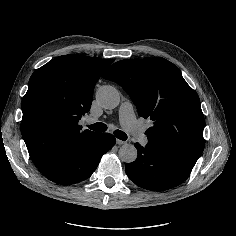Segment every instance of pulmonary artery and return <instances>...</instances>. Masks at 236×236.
I'll return each instance as SVG.
<instances>
[{"label": "pulmonary artery", "mask_w": 236, "mask_h": 236, "mask_svg": "<svg viewBox=\"0 0 236 236\" xmlns=\"http://www.w3.org/2000/svg\"><path fill=\"white\" fill-rule=\"evenodd\" d=\"M131 104L129 102H126L122 104L121 109H120V120L122 122L128 133L133 137V138H140L142 136V129L140 126L137 124L134 114H133V109L130 106H127ZM148 143V139L146 137H143L141 139V144L143 146H146Z\"/></svg>", "instance_id": "obj_1"}]
</instances>
